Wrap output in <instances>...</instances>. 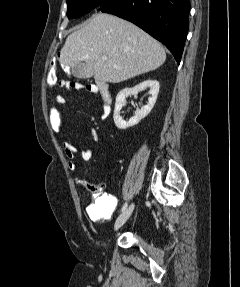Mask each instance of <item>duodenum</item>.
I'll use <instances>...</instances> for the list:
<instances>
[{
    "instance_id": "1",
    "label": "duodenum",
    "mask_w": 240,
    "mask_h": 287,
    "mask_svg": "<svg viewBox=\"0 0 240 287\" xmlns=\"http://www.w3.org/2000/svg\"><path fill=\"white\" fill-rule=\"evenodd\" d=\"M97 88L100 91L104 101L109 105L111 103V93L109 83L105 81L99 82Z\"/></svg>"
}]
</instances>
